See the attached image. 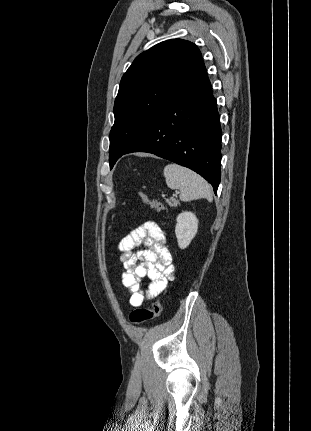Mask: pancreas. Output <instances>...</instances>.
<instances>
[{
	"mask_svg": "<svg viewBox=\"0 0 311 431\" xmlns=\"http://www.w3.org/2000/svg\"><path fill=\"white\" fill-rule=\"evenodd\" d=\"M166 202L170 208H177L178 204H180V200H176V198H169Z\"/></svg>",
	"mask_w": 311,
	"mask_h": 431,
	"instance_id": "1",
	"label": "pancreas"
}]
</instances>
